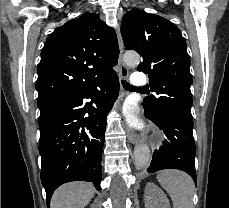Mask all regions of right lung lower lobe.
Masks as SVG:
<instances>
[{
  "instance_id": "98d812e1",
  "label": "right lung lower lobe",
  "mask_w": 229,
  "mask_h": 208,
  "mask_svg": "<svg viewBox=\"0 0 229 208\" xmlns=\"http://www.w3.org/2000/svg\"><path fill=\"white\" fill-rule=\"evenodd\" d=\"M118 93V76L113 74L39 118L41 182L48 208L54 190L63 183L89 181L101 190L106 117L111 108L109 102L116 100ZM84 98L91 102L84 105Z\"/></svg>"
}]
</instances>
